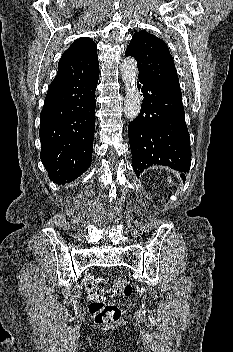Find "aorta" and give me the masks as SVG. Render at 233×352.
Segmentation results:
<instances>
[{
    "label": "aorta",
    "mask_w": 233,
    "mask_h": 352,
    "mask_svg": "<svg viewBox=\"0 0 233 352\" xmlns=\"http://www.w3.org/2000/svg\"><path fill=\"white\" fill-rule=\"evenodd\" d=\"M122 79L125 84L126 96L124 113L128 119H135L141 110V97L137 89L136 81L138 76L137 62L128 57L121 64Z\"/></svg>",
    "instance_id": "obj_1"
}]
</instances>
